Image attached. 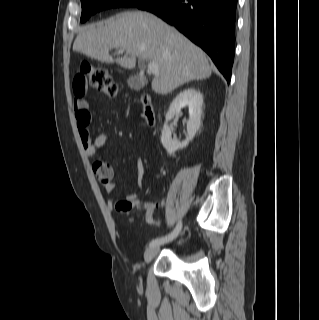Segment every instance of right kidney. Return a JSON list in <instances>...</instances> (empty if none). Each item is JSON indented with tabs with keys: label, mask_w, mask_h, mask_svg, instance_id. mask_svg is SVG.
Masks as SVG:
<instances>
[{
	"label": "right kidney",
	"mask_w": 319,
	"mask_h": 320,
	"mask_svg": "<svg viewBox=\"0 0 319 320\" xmlns=\"http://www.w3.org/2000/svg\"><path fill=\"white\" fill-rule=\"evenodd\" d=\"M203 106V95L194 88H188L180 92L170 104L169 110L165 116V123L161 134V143L169 155L177 150L185 148L198 132L201 126V115ZM189 108V120L187 122V135L183 142L172 139L171 130L168 122L175 116H178L181 109Z\"/></svg>",
	"instance_id": "right-kidney-1"
}]
</instances>
